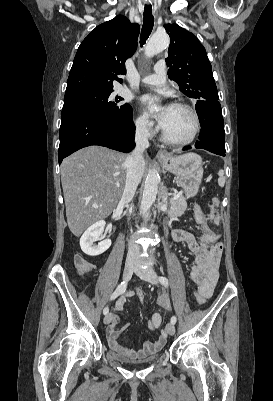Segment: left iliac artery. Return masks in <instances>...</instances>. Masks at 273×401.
Masks as SVG:
<instances>
[{
	"mask_svg": "<svg viewBox=\"0 0 273 401\" xmlns=\"http://www.w3.org/2000/svg\"><path fill=\"white\" fill-rule=\"evenodd\" d=\"M159 281L163 284V285H165V286H168V279L166 278V277H164V276H160L159 277ZM171 323H173V324H175L176 323V317L175 316H172V318H171Z\"/></svg>",
	"mask_w": 273,
	"mask_h": 401,
	"instance_id": "44dca946",
	"label": "left iliac artery"
}]
</instances>
